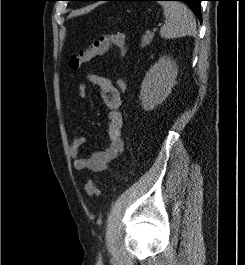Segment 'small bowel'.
I'll use <instances>...</instances> for the list:
<instances>
[{"instance_id":"1","label":"small bowel","mask_w":245,"mask_h":265,"mask_svg":"<svg viewBox=\"0 0 245 265\" xmlns=\"http://www.w3.org/2000/svg\"><path fill=\"white\" fill-rule=\"evenodd\" d=\"M86 80L100 89L103 102L109 109L107 128L109 142L103 151L94 152L90 157L84 158L81 156V148L86 143V139L83 136H77L71 141L69 152L76 171L102 172L120 156L124 149L123 118L120 112L122 100L119 89L107 76L88 73ZM78 95L82 99L88 97V90L84 84L78 86Z\"/></svg>"}]
</instances>
